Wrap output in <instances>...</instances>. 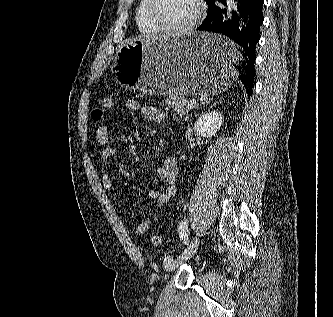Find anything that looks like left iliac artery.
Returning <instances> with one entry per match:
<instances>
[{
	"instance_id": "obj_1",
	"label": "left iliac artery",
	"mask_w": 333,
	"mask_h": 317,
	"mask_svg": "<svg viewBox=\"0 0 333 317\" xmlns=\"http://www.w3.org/2000/svg\"><path fill=\"white\" fill-rule=\"evenodd\" d=\"M187 225H188V218H184L178 227V233H179V237L180 239L184 242V244H188L189 239H188V235H187ZM188 248L184 251L187 252ZM173 259L170 256L165 257L164 259V263L168 264L169 262H171Z\"/></svg>"
}]
</instances>
